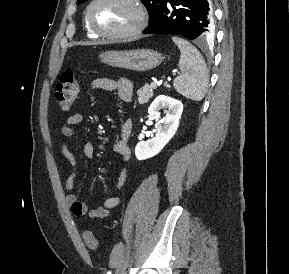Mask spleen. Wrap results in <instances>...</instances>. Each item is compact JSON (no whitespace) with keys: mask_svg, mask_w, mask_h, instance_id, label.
Wrapping results in <instances>:
<instances>
[{"mask_svg":"<svg viewBox=\"0 0 289 274\" xmlns=\"http://www.w3.org/2000/svg\"><path fill=\"white\" fill-rule=\"evenodd\" d=\"M180 49L179 68L181 74L173 82L181 95L199 101L203 99L208 85V70L200 52L187 40L172 37Z\"/></svg>","mask_w":289,"mask_h":274,"instance_id":"spleen-1","label":"spleen"}]
</instances>
